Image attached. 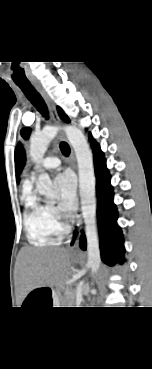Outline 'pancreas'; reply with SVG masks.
I'll use <instances>...</instances> for the list:
<instances>
[{"mask_svg": "<svg viewBox=\"0 0 152 369\" xmlns=\"http://www.w3.org/2000/svg\"><path fill=\"white\" fill-rule=\"evenodd\" d=\"M68 300H73L74 299V292L71 290L69 293H68Z\"/></svg>", "mask_w": 152, "mask_h": 369, "instance_id": "pancreas-1", "label": "pancreas"}]
</instances>
